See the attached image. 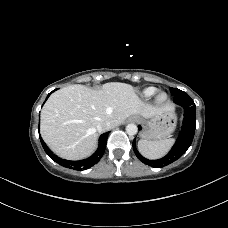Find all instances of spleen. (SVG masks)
<instances>
[{"instance_id":"spleen-1","label":"spleen","mask_w":228,"mask_h":228,"mask_svg":"<svg viewBox=\"0 0 228 228\" xmlns=\"http://www.w3.org/2000/svg\"><path fill=\"white\" fill-rule=\"evenodd\" d=\"M173 143V138L156 141L141 139L138 142V149L148 159H159L170 150Z\"/></svg>"}]
</instances>
